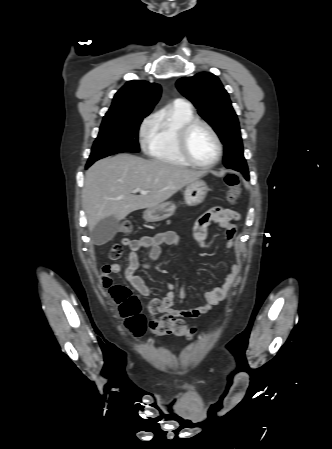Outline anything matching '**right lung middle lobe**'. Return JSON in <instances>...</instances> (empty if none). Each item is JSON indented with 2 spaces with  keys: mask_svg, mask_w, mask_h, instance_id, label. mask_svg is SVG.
I'll use <instances>...</instances> for the list:
<instances>
[{
  "mask_svg": "<svg viewBox=\"0 0 332 449\" xmlns=\"http://www.w3.org/2000/svg\"><path fill=\"white\" fill-rule=\"evenodd\" d=\"M146 115L104 117L86 167L122 152H139L138 130Z\"/></svg>",
  "mask_w": 332,
  "mask_h": 449,
  "instance_id": "obj_1",
  "label": "right lung middle lobe"
}]
</instances>
